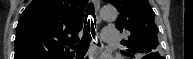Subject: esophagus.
Segmentation results:
<instances>
[{
	"instance_id": "34e87169",
	"label": "esophagus",
	"mask_w": 193,
	"mask_h": 59,
	"mask_svg": "<svg viewBox=\"0 0 193 59\" xmlns=\"http://www.w3.org/2000/svg\"><path fill=\"white\" fill-rule=\"evenodd\" d=\"M93 3L95 4L96 13H98V9H99V2H98V1H93ZM97 21H98V23H100V22H101V20H100V18H99V16H98V14H97Z\"/></svg>"
}]
</instances>
